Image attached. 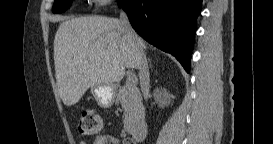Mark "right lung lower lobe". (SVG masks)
I'll return each mask as SVG.
<instances>
[{
  "label": "right lung lower lobe",
  "instance_id": "obj_1",
  "mask_svg": "<svg viewBox=\"0 0 273 144\" xmlns=\"http://www.w3.org/2000/svg\"><path fill=\"white\" fill-rule=\"evenodd\" d=\"M134 30L190 71L196 19L202 0H117Z\"/></svg>",
  "mask_w": 273,
  "mask_h": 144
}]
</instances>
